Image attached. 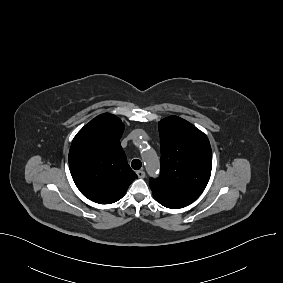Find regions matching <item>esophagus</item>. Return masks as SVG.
Listing matches in <instances>:
<instances>
[{
    "mask_svg": "<svg viewBox=\"0 0 283 283\" xmlns=\"http://www.w3.org/2000/svg\"><path fill=\"white\" fill-rule=\"evenodd\" d=\"M136 173H137V176H138L139 178H144V177H145V172H144L143 170H139V171H137Z\"/></svg>",
    "mask_w": 283,
    "mask_h": 283,
    "instance_id": "34e87169",
    "label": "esophagus"
}]
</instances>
